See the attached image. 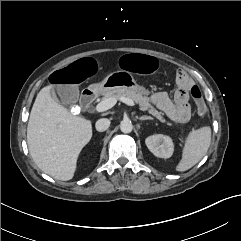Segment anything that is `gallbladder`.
<instances>
[{"label": "gallbladder", "mask_w": 241, "mask_h": 241, "mask_svg": "<svg viewBox=\"0 0 241 241\" xmlns=\"http://www.w3.org/2000/svg\"><path fill=\"white\" fill-rule=\"evenodd\" d=\"M69 91H70V97L66 102L64 101V103L74 104L78 101L79 90L77 87L72 86V87H70ZM50 94L54 99H56L55 86L50 87Z\"/></svg>", "instance_id": "1"}]
</instances>
